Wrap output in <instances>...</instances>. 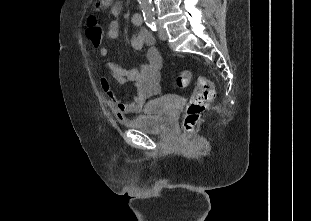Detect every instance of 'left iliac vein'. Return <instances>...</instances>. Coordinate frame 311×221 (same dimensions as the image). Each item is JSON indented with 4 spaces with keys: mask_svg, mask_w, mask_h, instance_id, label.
<instances>
[{
    "mask_svg": "<svg viewBox=\"0 0 311 221\" xmlns=\"http://www.w3.org/2000/svg\"><path fill=\"white\" fill-rule=\"evenodd\" d=\"M158 35L161 40L165 41L168 39L167 31L161 26L158 27Z\"/></svg>",
    "mask_w": 311,
    "mask_h": 221,
    "instance_id": "left-iliac-vein-1",
    "label": "left iliac vein"
}]
</instances>
